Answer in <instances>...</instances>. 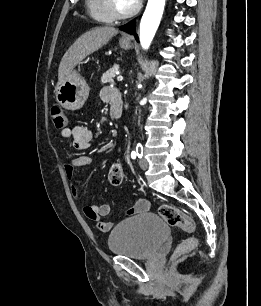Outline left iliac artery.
I'll return each mask as SVG.
<instances>
[{"mask_svg":"<svg viewBox=\"0 0 261 306\" xmlns=\"http://www.w3.org/2000/svg\"><path fill=\"white\" fill-rule=\"evenodd\" d=\"M142 156H143V146L141 143H138L136 146V151L131 152V158L132 159H136V157L142 158Z\"/></svg>","mask_w":261,"mask_h":306,"instance_id":"44dca946","label":"left iliac artery"}]
</instances>
